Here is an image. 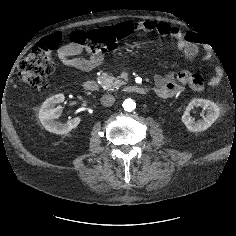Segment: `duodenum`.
Here are the masks:
<instances>
[{
  "label": "duodenum",
  "mask_w": 236,
  "mask_h": 236,
  "mask_svg": "<svg viewBox=\"0 0 236 236\" xmlns=\"http://www.w3.org/2000/svg\"><path fill=\"white\" fill-rule=\"evenodd\" d=\"M83 87L86 91L89 92H96L99 90V84L94 79H89L85 81ZM126 91L134 94H145L147 92V89L143 86L128 85L126 86Z\"/></svg>",
  "instance_id": "1"
}]
</instances>
